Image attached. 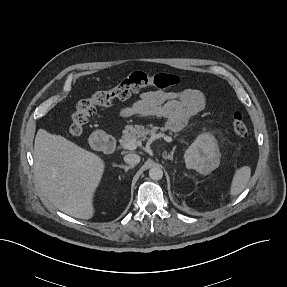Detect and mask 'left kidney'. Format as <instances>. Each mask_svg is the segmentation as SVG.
<instances>
[{
  "instance_id": "left-kidney-1",
  "label": "left kidney",
  "mask_w": 287,
  "mask_h": 287,
  "mask_svg": "<svg viewBox=\"0 0 287 287\" xmlns=\"http://www.w3.org/2000/svg\"><path fill=\"white\" fill-rule=\"evenodd\" d=\"M186 167L203 175L215 170L220 163V152L213 135H200L184 154Z\"/></svg>"
}]
</instances>
